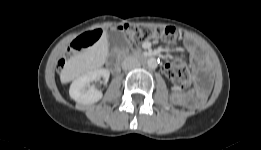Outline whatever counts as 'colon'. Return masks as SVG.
<instances>
[{"label":"colon","instance_id":"obj_1","mask_svg":"<svg viewBox=\"0 0 261 150\" xmlns=\"http://www.w3.org/2000/svg\"><path fill=\"white\" fill-rule=\"evenodd\" d=\"M120 29L124 31L129 39L136 43L147 40H161L175 44L180 39L179 32L174 27L124 25ZM103 33L104 30L102 29H93L84 33L72 42L68 50V56H73L92 46L102 37ZM65 63L64 59L59 62V72L64 70ZM165 73L179 87H185L189 82L188 70L182 60L175 59L167 63Z\"/></svg>","mask_w":261,"mask_h":150}]
</instances>
